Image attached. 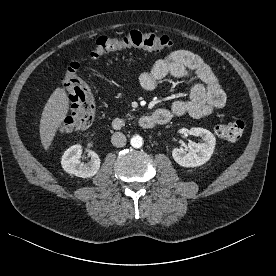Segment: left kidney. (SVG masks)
I'll list each match as a JSON object with an SVG mask.
<instances>
[{
  "mask_svg": "<svg viewBox=\"0 0 276 276\" xmlns=\"http://www.w3.org/2000/svg\"><path fill=\"white\" fill-rule=\"evenodd\" d=\"M188 133L193 136H200L203 143L190 141L189 151L182 148H174L172 151L173 159L183 167H197L205 164L214 152L216 139L215 136L204 128L192 127Z\"/></svg>",
  "mask_w": 276,
  "mask_h": 276,
  "instance_id": "1",
  "label": "left kidney"
}]
</instances>
